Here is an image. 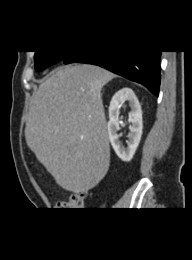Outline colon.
Wrapping results in <instances>:
<instances>
[{"label":"colon","mask_w":192,"mask_h":260,"mask_svg":"<svg viewBox=\"0 0 192 260\" xmlns=\"http://www.w3.org/2000/svg\"><path fill=\"white\" fill-rule=\"evenodd\" d=\"M84 193H76L69 197L66 201H61L57 204L59 210H77L80 209L85 201Z\"/></svg>","instance_id":"obj_1"}]
</instances>
